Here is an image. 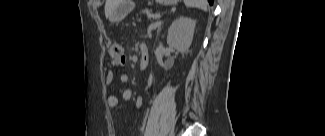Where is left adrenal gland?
<instances>
[{
	"label": "left adrenal gland",
	"instance_id": "1",
	"mask_svg": "<svg viewBox=\"0 0 325 136\" xmlns=\"http://www.w3.org/2000/svg\"><path fill=\"white\" fill-rule=\"evenodd\" d=\"M160 30H161V25L158 26L157 35L159 34Z\"/></svg>",
	"mask_w": 325,
	"mask_h": 136
}]
</instances>
